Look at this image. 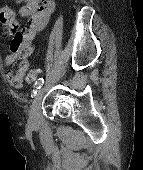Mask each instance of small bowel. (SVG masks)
Masks as SVG:
<instances>
[{"mask_svg":"<svg viewBox=\"0 0 143 170\" xmlns=\"http://www.w3.org/2000/svg\"><path fill=\"white\" fill-rule=\"evenodd\" d=\"M18 14L29 16V24L21 31L16 13L8 6L0 8V22L10 32L16 31L10 41V53L3 58L2 64L10 66L5 73L8 83L21 88L24 77L30 66V57L33 53V43L39 32L47 25L55 10V0H15Z\"/></svg>","mask_w":143,"mask_h":170,"instance_id":"c3829d8e","label":"small bowel"}]
</instances>
